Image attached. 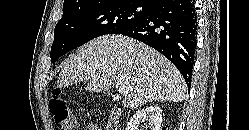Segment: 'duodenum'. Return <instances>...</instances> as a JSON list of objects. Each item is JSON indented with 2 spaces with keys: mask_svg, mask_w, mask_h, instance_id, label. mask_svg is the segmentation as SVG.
<instances>
[{
  "mask_svg": "<svg viewBox=\"0 0 249 130\" xmlns=\"http://www.w3.org/2000/svg\"><path fill=\"white\" fill-rule=\"evenodd\" d=\"M120 112L114 108L111 111L105 130H119Z\"/></svg>",
  "mask_w": 249,
  "mask_h": 130,
  "instance_id": "duodenum-1",
  "label": "duodenum"
}]
</instances>
